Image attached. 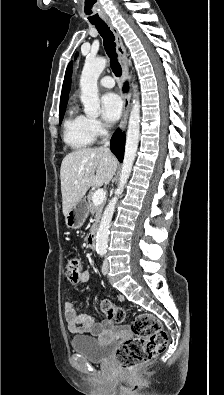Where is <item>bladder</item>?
Returning <instances> with one entry per match:
<instances>
[{"label":"bladder","mask_w":224,"mask_h":395,"mask_svg":"<svg viewBox=\"0 0 224 395\" xmlns=\"http://www.w3.org/2000/svg\"><path fill=\"white\" fill-rule=\"evenodd\" d=\"M72 349L91 362H106L110 359L113 341L104 342L99 338L74 336L70 341Z\"/></svg>","instance_id":"bladder-1"}]
</instances>
